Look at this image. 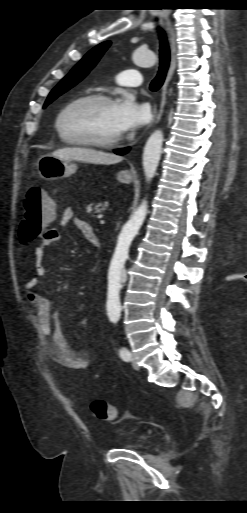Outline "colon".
Masks as SVG:
<instances>
[{"label": "colon", "mask_w": 247, "mask_h": 513, "mask_svg": "<svg viewBox=\"0 0 247 513\" xmlns=\"http://www.w3.org/2000/svg\"><path fill=\"white\" fill-rule=\"evenodd\" d=\"M57 213L55 200L41 187L30 188L23 199V216L19 227V239L22 243H29L38 238L42 232L49 228ZM91 410L95 416L102 420L116 418V408L102 399H95L91 403Z\"/></svg>", "instance_id": "colon-1"}]
</instances>
